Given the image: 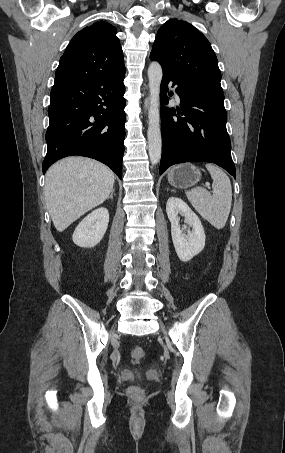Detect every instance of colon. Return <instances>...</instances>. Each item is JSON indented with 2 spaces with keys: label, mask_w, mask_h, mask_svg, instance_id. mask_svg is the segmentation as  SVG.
Here are the masks:
<instances>
[{
  "label": "colon",
  "mask_w": 285,
  "mask_h": 453,
  "mask_svg": "<svg viewBox=\"0 0 285 453\" xmlns=\"http://www.w3.org/2000/svg\"><path fill=\"white\" fill-rule=\"evenodd\" d=\"M145 356L144 349L140 345H134L130 352V358L133 363H139ZM128 394L132 398H140L143 394V390L138 386H131L128 389Z\"/></svg>",
  "instance_id": "1"
}]
</instances>
